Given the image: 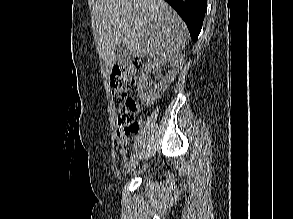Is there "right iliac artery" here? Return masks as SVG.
Returning a JSON list of instances; mask_svg holds the SVG:
<instances>
[{
  "mask_svg": "<svg viewBox=\"0 0 293 219\" xmlns=\"http://www.w3.org/2000/svg\"><path fill=\"white\" fill-rule=\"evenodd\" d=\"M139 153V150H135V152L131 155V159H133L134 157H136Z\"/></svg>",
  "mask_w": 293,
  "mask_h": 219,
  "instance_id": "82829eb1",
  "label": "right iliac artery"
}]
</instances>
